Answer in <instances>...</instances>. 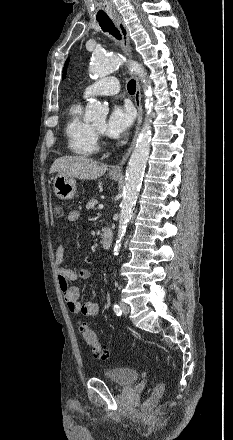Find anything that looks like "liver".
<instances>
[{"label": "liver", "mask_w": 233, "mask_h": 440, "mask_svg": "<svg viewBox=\"0 0 233 440\" xmlns=\"http://www.w3.org/2000/svg\"><path fill=\"white\" fill-rule=\"evenodd\" d=\"M107 168V165L85 156H65L54 161L50 173L58 172L81 180H94L102 176Z\"/></svg>", "instance_id": "liver-1"}]
</instances>
